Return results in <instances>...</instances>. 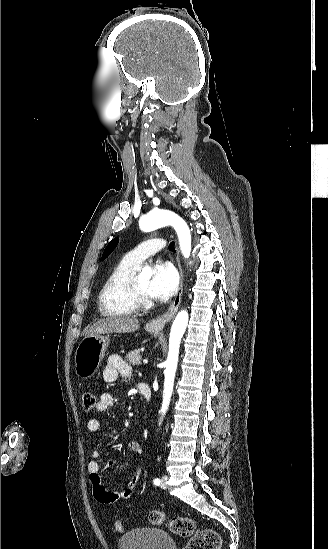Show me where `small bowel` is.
<instances>
[{
    "label": "small bowel",
    "mask_w": 328,
    "mask_h": 549,
    "mask_svg": "<svg viewBox=\"0 0 328 549\" xmlns=\"http://www.w3.org/2000/svg\"><path fill=\"white\" fill-rule=\"evenodd\" d=\"M132 375L131 366L119 355L112 354L107 358L106 366L103 369V380L106 383H113L119 376L128 377ZM114 405V397L112 394L105 392L99 397L96 403L95 409L99 413L107 412ZM101 428V423L96 418H91L87 422V429L90 432H98ZM129 450L135 455L140 456L142 454V446L139 442L131 440L127 443ZM101 452L98 449H93L90 453V461L88 462L87 469L89 478L93 486V493L95 499L102 504H112L120 500L129 499L137 486L141 476V466L137 465L122 490H110L108 489L101 476V470L99 465V459ZM116 460L111 458L106 468H110L115 464Z\"/></svg>",
    "instance_id": "1"
}]
</instances>
